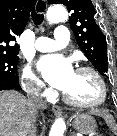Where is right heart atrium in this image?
<instances>
[{
    "label": "right heart atrium",
    "instance_id": "1",
    "mask_svg": "<svg viewBox=\"0 0 117 136\" xmlns=\"http://www.w3.org/2000/svg\"><path fill=\"white\" fill-rule=\"evenodd\" d=\"M22 86L24 91L33 97L51 98L53 92L47 88L42 79L33 71L30 66H27L22 73Z\"/></svg>",
    "mask_w": 117,
    "mask_h": 136
}]
</instances>
